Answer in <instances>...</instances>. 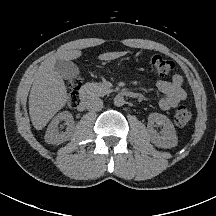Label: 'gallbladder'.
<instances>
[{"instance_id":"1","label":"gallbladder","mask_w":216,"mask_h":216,"mask_svg":"<svg viewBox=\"0 0 216 216\" xmlns=\"http://www.w3.org/2000/svg\"><path fill=\"white\" fill-rule=\"evenodd\" d=\"M54 69L65 80L77 77L80 73L78 66L69 60H56Z\"/></svg>"}]
</instances>
